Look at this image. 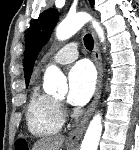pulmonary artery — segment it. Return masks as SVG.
Returning a JSON list of instances; mask_svg holds the SVG:
<instances>
[{
    "mask_svg": "<svg viewBox=\"0 0 139 150\" xmlns=\"http://www.w3.org/2000/svg\"><path fill=\"white\" fill-rule=\"evenodd\" d=\"M79 56L78 46L76 43H69L63 46L59 51H57L50 62L56 64H67L76 60ZM49 63L45 64L42 69H44Z\"/></svg>",
    "mask_w": 139,
    "mask_h": 150,
    "instance_id": "obj_1",
    "label": "pulmonary artery"
}]
</instances>
